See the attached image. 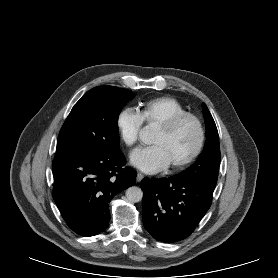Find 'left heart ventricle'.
<instances>
[{
  "label": "left heart ventricle",
  "mask_w": 278,
  "mask_h": 278,
  "mask_svg": "<svg viewBox=\"0 0 278 278\" xmlns=\"http://www.w3.org/2000/svg\"><path fill=\"white\" fill-rule=\"evenodd\" d=\"M197 129L192 121L183 122L171 133L158 128L152 138V143L163 148L170 164L188 156L197 143Z\"/></svg>",
  "instance_id": "obj_1"
}]
</instances>
